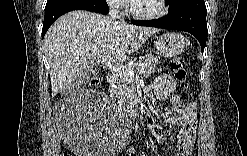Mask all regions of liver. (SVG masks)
I'll return each mask as SVG.
<instances>
[{"instance_id": "liver-1", "label": "liver", "mask_w": 247, "mask_h": 156, "mask_svg": "<svg viewBox=\"0 0 247 156\" xmlns=\"http://www.w3.org/2000/svg\"><path fill=\"white\" fill-rule=\"evenodd\" d=\"M156 32V28L129 25L85 10L64 14L44 37L52 97L87 77L101 58L122 63Z\"/></svg>"}]
</instances>
